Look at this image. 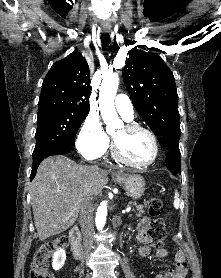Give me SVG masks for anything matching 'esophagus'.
Segmentation results:
<instances>
[{"label":"esophagus","mask_w":221,"mask_h":278,"mask_svg":"<svg viewBox=\"0 0 221 278\" xmlns=\"http://www.w3.org/2000/svg\"><path fill=\"white\" fill-rule=\"evenodd\" d=\"M104 32H109V30L108 29H105V30H103ZM119 173L118 172H113V175H118Z\"/></svg>","instance_id":"34e87169"}]
</instances>
